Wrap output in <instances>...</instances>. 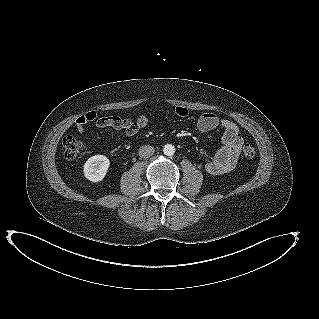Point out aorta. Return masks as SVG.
<instances>
[{"mask_svg": "<svg viewBox=\"0 0 319 319\" xmlns=\"http://www.w3.org/2000/svg\"><path fill=\"white\" fill-rule=\"evenodd\" d=\"M163 153L167 156H172L175 153V147L172 144H166L163 148Z\"/></svg>", "mask_w": 319, "mask_h": 319, "instance_id": "1", "label": "aorta"}]
</instances>
